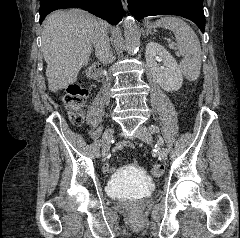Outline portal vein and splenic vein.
Here are the masks:
<instances>
[{
    "instance_id": "obj_1",
    "label": "portal vein and splenic vein",
    "mask_w": 240,
    "mask_h": 238,
    "mask_svg": "<svg viewBox=\"0 0 240 238\" xmlns=\"http://www.w3.org/2000/svg\"><path fill=\"white\" fill-rule=\"evenodd\" d=\"M170 47L172 48V47H173V44H170Z\"/></svg>"
}]
</instances>
